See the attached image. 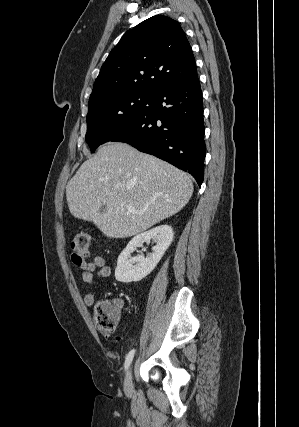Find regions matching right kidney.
<instances>
[{"label": "right kidney", "instance_id": "obj_1", "mask_svg": "<svg viewBox=\"0 0 299 427\" xmlns=\"http://www.w3.org/2000/svg\"><path fill=\"white\" fill-rule=\"evenodd\" d=\"M151 239L156 243L152 248V253L147 257L139 255L131 258V254L138 247H142L144 242L149 243ZM172 241L173 230L168 225L157 226L132 238L118 257L115 269L116 280L123 283H130L145 278L156 267Z\"/></svg>", "mask_w": 299, "mask_h": 427}]
</instances>
